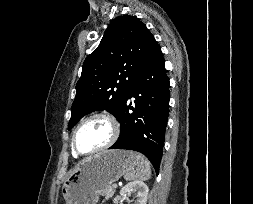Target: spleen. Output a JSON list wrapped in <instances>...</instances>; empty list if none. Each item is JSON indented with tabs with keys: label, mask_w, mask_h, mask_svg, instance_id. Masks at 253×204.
Returning <instances> with one entry per match:
<instances>
[{
	"label": "spleen",
	"mask_w": 253,
	"mask_h": 204,
	"mask_svg": "<svg viewBox=\"0 0 253 204\" xmlns=\"http://www.w3.org/2000/svg\"><path fill=\"white\" fill-rule=\"evenodd\" d=\"M150 177L151 168L149 161L142 155L137 154L136 168L124 176L125 180H148Z\"/></svg>",
	"instance_id": "obj_1"
}]
</instances>
